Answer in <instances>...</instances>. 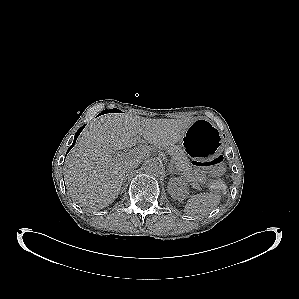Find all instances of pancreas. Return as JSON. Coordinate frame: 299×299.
Segmentation results:
<instances>
[{"label":"pancreas","mask_w":299,"mask_h":299,"mask_svg":"<svg viewBox=\"0 0 299 299\" xmlns=\"http://www.w3.org/2000/svg\"><path fill=\"white\" fill-rule=\"evenodd\" d=\"M167 152L173 154V160L177 171L181 172V174L187 178L193 188L200 189L199 182H201L202 179L193 175L190 160L184 151L178 146L173 145L167 148Z\"/></svg>","instance_id":"1"}]
</instances>
